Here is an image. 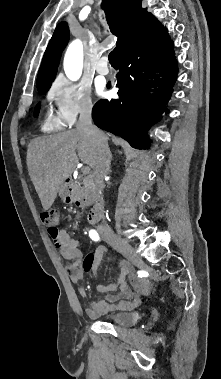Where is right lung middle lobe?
<instances>
[{
	"instance_id": "1",
	"label": "right lung middle lobe",
	"mask_w": 221,
	"mask_h": 379,
	"mask_svg": "<svg viewBox=\"0 0 221 379\" xmlns=\"http://www.w3.org/2000/svg\"><path fill=\"white\" fill-rule=\"evenodd\" d=\"M49 88H50V86L38 88V92H39V94H45L49 90ZM39 109H40V103L37 105V107L35 109V116L38 115Z\"/></svg>"
}]
</instances>
